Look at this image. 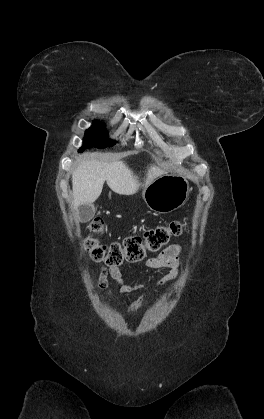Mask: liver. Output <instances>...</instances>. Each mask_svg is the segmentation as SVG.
I'll list each match as a JSON object with an SVG mask.
<instances>
[{"instance_id":"1","label":"liver","mask_w":264,"mask_h":419,"mask_svg":"<svg viewBox=\"0 0 264 419\" xmlns=\"http://www.w3.org/2000/svg\"><path fill=\"white\" fill-rule=\"evenodd\" d=\"M165 173L161 168L151 165L142 183L123 161L108 163L84 159L72 173L73 206L76 209L95 202L105 181L113 192L131 195Z\"/></svg>"}]
</instances>
